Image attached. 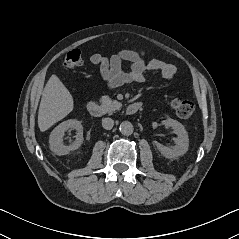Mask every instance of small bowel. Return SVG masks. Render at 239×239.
<instances>
[{
	"instance_id": "1",
	"label": "small bowel",
	"mask_w": 239,
	"mask_h": 239,
	"mask_svg": "<svg viewBox=\"0 0 239 239\" xmlns=\"http://www.w3.org/2000/svg\"><path fill=\"white\" fill-rule=\"evenodd\" d=\"M123 61H130L128 71H123ZM90 62L99 66L103 84L98 85V89H114L123 84L142 83L145 80V73L157 72L164 79H173L176 75L175 66L157 59L145 61L131 50H122L111 57L94 53L90 56Z\"/></svg>"
}]
</instances>
